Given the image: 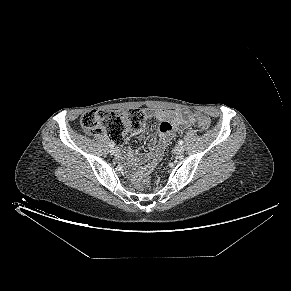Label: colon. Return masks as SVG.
Instances as JSON below:
<instances>
[{
  "instance_id": "5ec220e1",
  "label": "colon",
  "mask_w": 291,
  "mask_h": 291,
  "mask_svg": "<svg viewBox=\"0 0 291 291\" xmlns=\"http://www.w3.org/2000/svg\"><path fill=\"white\" fill-rule=\"evenodd\" d=\"M145 113L140 109L128 111H88L81 117L82 127L89 133L98 135L106 134L113 142L120 144L127 133L139 129L145 121ZM198 126L201 130H207L210 126L209 119L199 114ZM151 168H145L141 172L144 183L149 182L148 174Z\"/></svg>"
}]
</instances>
